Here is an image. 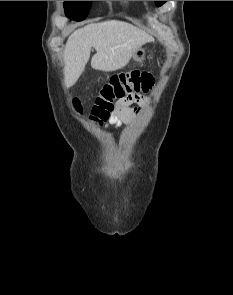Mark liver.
I'll use <instances>...</instances> for the list:
<instances>
[{"label": "liver", "mask_w": 233, "mask_h": 295, "mask_svg": "<svg viewBox=\"0 0 233 295\" xmlns=\"http://www.w3.org/2000/svg\"><path fill=\"white\" fill-rule=\"evenodd\" d=\"M153 40L141 29L119 20L92 23L76 30L64 50L66 88L73 86L84 71L92 47L96 50L92 68L110 72L126 66L137 48Z\"/></svg>", "instance_id": "liver-1"}]
</instances>
